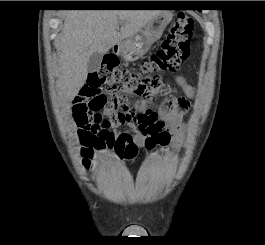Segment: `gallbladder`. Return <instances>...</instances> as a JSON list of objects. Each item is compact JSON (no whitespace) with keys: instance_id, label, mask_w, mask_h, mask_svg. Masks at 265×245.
I'll return each mask as SVG.
<instances>
[{"instance_id":"gallbladder-1","label":"gallbladder","mask_w":265,"mask_h":245,"mask_svg":"<svg viewBox=\"0 0 265 245\" xmlns=\"http://www.w3.org/2000/svg\"><path fill=\"white\" fill-rule=\"evenodd\" d=\"M103 55L101 53L95 52L91 54L87 62L88 72H95L101 65Z\"/></svg>"}]
</instances>
